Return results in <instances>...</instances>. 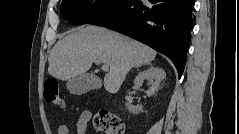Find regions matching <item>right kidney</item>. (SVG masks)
I'll return each mask as SVG.
<instances>
[{
    "mask_svg": "<svg viewBox=\"0 0 239 134\" xmlns=\"http://www.w3.org/2000/svg\"><path fill=\"white\" fill-rule=\"evenodd\" d=\"M166 77V74L162 68L158 67H150L147 70L140 72L134 80V83L138 86H142L143 81L147 80L148 85H150L149 89L146 90L147 96H152L159 89V85L161 81ZM129 112L133 114H137L143 111V107L141 105L133 106L130 103L125 104Z\"/></svg>",
    "mask_w": 239,
    "mask_h": 134,
    "instance_id": "right-kidney-1",
    "label": "right kidney"
}]
</instances>
